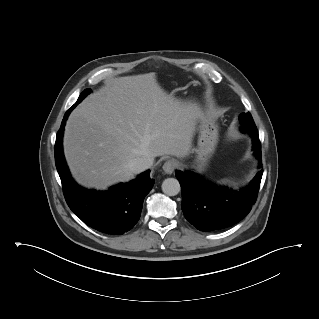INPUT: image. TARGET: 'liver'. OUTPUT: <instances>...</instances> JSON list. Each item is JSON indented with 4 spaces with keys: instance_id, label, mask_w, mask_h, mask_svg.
Masks as SVG:
<instances>
[{
    "instance_id": "obj_1",
    "label": "liver",
    "mask_w": 319,
    "mask_h": 319,
    "mask_svg": "<svg viewBox=\"0 0 319 319\" xmlns=\"http://www.w3.org/2000/svg\"><path fill=\"white\" fill-rule=\"evenodd\" d=\"M199 112L168 95L154 72L112 79L70 114L64 154L75 180L104 190L127 182L136 158L173 155L184 158Z\"/></svg>"
}]
</instances>
